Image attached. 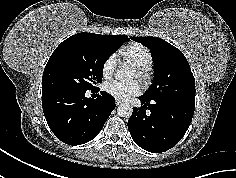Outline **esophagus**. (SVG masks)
<instances>
[{"label": "esophagus", "instance_id": "esophagus-1", "mask_svg": "<svg viewBox=\"0 0 236 178\" xmlns=\"http://www.w3.org/2000/svg\"><path fill=\"white\" fill-rule=\"evenodd\" d=\"M115 102H116V105H117V106L122 103L120 100H116Z\"/></svg>", "mask_w": 236, "mask_h": 178}]
</instances>
